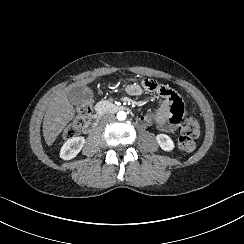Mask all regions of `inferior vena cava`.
Listing matches in <instances>:
<instances>
[{
    "mask_svg": "<svg viewBox=\"0 0 244 244\" xmlns=\"http://www.w3.org/2000/svg\"><path fill=\"white\" fill-rule=\"evenodd\" d=\"M106 119H107V121H111V120L115 121L116 117L114 115L109 114L106 116Z\"/></svg>",
    "mask_w": 244,
    "mask_h": 244,
    "instance_id": "obj_1",
    "label": "inferior vena cava"
}]
</instances>
